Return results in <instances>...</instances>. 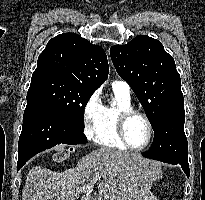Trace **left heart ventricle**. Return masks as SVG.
<instances>
[{"label":"left heart ventricle","mask_w":205,"mask_h":200,"mask_svg":"<svg viewBox=\"0 0 205 200\" xmlns=\"http://www.w3.org/2000/svg\"><path fill=\"white\" fill-rule=\"evenodd\" d=\"M126 135L132 146H142L148 138V126L140 116L132 117L126 127Z\"/></svg>","instance_id":"b2bd125f"}]
</instances>
